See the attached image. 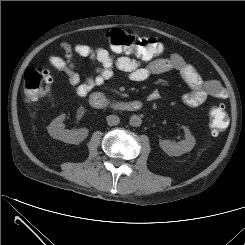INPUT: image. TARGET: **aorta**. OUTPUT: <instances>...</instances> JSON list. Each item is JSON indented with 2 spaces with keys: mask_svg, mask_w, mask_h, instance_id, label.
<instances>
[{
  "mask_svg": "<svg viewBox=\"0 0 245 245\" xmlns=\"http://www.w3.org/2000/svg\"><path fill=\"white\" fill-rule=\"evenodd\" d=\"M129 124L132 126V127H138L142 124V119L140 116L138 115H132L129 119Z\"/></svg>",
  "mask_w": 245,
  "mask_h": 245,
  "instance_id": "762f6f07",
  "label": "aorta"
}]
</instances>
